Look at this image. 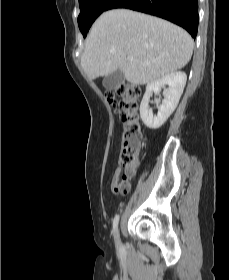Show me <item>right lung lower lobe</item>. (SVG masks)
<instances>
[{"label":"right lung lower lobe","mask_w":229,"mask_h":280,"mask_svg":"<svg viewBox=\"0 0 229 280\" xmlns=\"http://www.w3.org/2000/svg\"><path fill=\"white\" fill-rule=\"evenodd\" d=\"M127 8L169 20L186 29L193 38L198 30V0H113L107 10Z\"/></svg>","instance_id":"98d812e1"}]
</instances>
